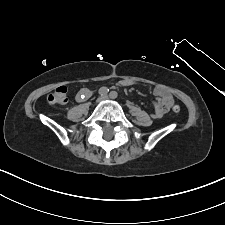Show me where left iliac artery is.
<instances>
[{"instance_id":"left-iliac-artery-1","label":"left iliac artery","mask_w":225,"mask_h":225,"mask_svg":"<svg viewBox=\"0 0 225 225\" xmlns=\"http://www.w3.org/2000/svg\"><path fill=\"white\" fill-rule=\"evenodd\" d=\"M117 96H118V94H117L116 91H112V92L110 93V97H111L112 99L117 98Z\"/></svg>"}]
</instances>
